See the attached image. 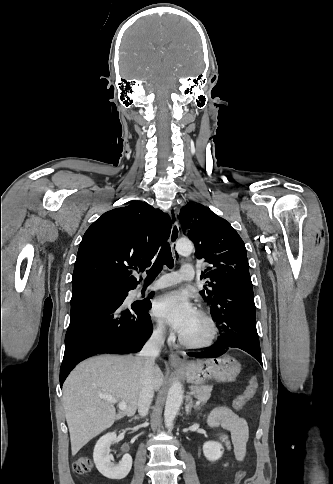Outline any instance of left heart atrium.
Listing matches in <instances>:
<instances>
[{"mask_svg": "<svg viewBox=\"0 0 333 484\" xmlns=\"http://www.w3.org/2000/svg\"><path fill=\"white\" fill-rule=\"evenodd\" d=\"M152 314L182 334L197 315V310L187 293L171 291L155 301Z\"/></svg>", "mask_w": 333, "mask_h": 484, "instance_id": "obj_1", "label": "left heart atrium"}]
</instances>
